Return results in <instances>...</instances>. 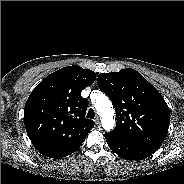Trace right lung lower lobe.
<instances>
[{
    "label": "right lung lower lobe",
    "mask_w": 184,
    "mask_h": 184,
    "mask_svg": "<svg viewBox=\"0 0 184 184\" xmlns=\"http://www.w3.org/2000/svg\"><path fill=\"white\" fill-rule=\"evenodd\" d=\"M78 149V148H77ZM77 149L71 150V151H66V152H61V153H56L53 154L51 156H49V158H54V159H59V158H63L66 157L70 154H72L73 152H75Z\"/></svg>",
    "instance_id": "98d812e1"
}]
</instances>
